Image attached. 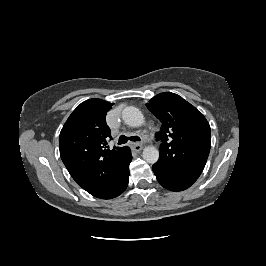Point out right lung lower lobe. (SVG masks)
Returning a JSON list of instances; mask_svg holds the SVG:
<instances>
[{"mask_svg": "<svg viewBox=\"0 0 266 266\" xmlns=\"http://www.w3.org/2000/svg\"><path fill=\"white\" fill-rule=\"evenodd\" d=\"M132 160L131 151L129 152L128 158L126 160V163L120 172V174L117 176V180L115 182V185L113 188L107 193L102 199H111L119 196L127 187L128 181H129V164Z\"/></svg>", "mask_w": 266, "mask_h": 266, "instance_id": "98d812e1", "label": "right lung lower lobe"}]
</instances>
